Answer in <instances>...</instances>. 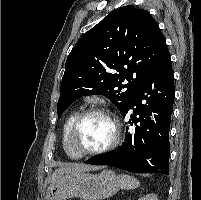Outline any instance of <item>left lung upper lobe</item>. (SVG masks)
Wrapping results in <instances>:
<instances>
[{"mask_svg": "<svg viewBox=\"0 0 201 200\" xmlns=\"http://www.w3.org/2000/svg\"><path fill=\"white\" fill-rule=\"evenodd\" d=\"M166 52L165 38L149 12L128 5L110 13L86 32L68 55L58 118L86 95L107 97L123 114L137 88Z\"/></svg>", "mask_w": 201, "mask_h": 200, "instance_id": "left-lung-upper-lobe-1", "label": "left lung upper lobe"}]
</instances>
